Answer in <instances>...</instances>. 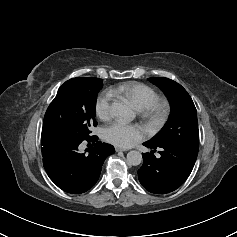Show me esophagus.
I'll return each instance as SVG.
<instances>
[{
  "label": "esophagus",
  "mask_w": 237,
  "mask_h": 237,
  "mask_svg": "<svg viewBox=\"0 0 237 237\" xmlns=\"http://www.w3.org/2000/svg\"><path fill=\"white\" fill-rule=\"evenodd\" d=\"M115 151L116 152H123V151H127V149H122V148H119V147H115Z\"/></svg>",
  "instance_id": "esophagus-1"
}]
</instances>
